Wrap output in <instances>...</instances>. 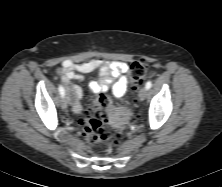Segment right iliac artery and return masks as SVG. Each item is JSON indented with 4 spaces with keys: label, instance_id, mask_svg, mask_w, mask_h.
I'll use <instances>...</instances> for the list:
<instances>
[{
    "label": "right iliac artery",
    "instance_id": "82829eb1",
    "mask_svg": "<svg viewBox=\"0 0 222 187\" xmlns=\"http://www.w3.org/2000/svg\"><path fill=\"white\" fill-rule=\"evenodd\" d=\"M58 90H59L60 95H61L62 97H64V95H65V90H64V88H63L62 85H59Z\"/></svg>",
    "mask_w": 222,
    "mask_h": 187
}]
</instances>
